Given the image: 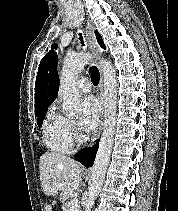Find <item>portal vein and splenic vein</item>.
Returning <instances> with one entry per match:
<instances>
[{
  "label": "portal vein and splenic vein",
  "mask_w": 178,
  "mask_h": 211,
  "mask_svg": "<svg viewBox=\"0 0 178 211\" xmlns=\"http://www.w3.org/2000/svg\"><path fill=\"white\" fill-rule=\"evenodd\" d=\"M58 190L64 189V184H58L56 186ZM78 208V199L76 197H73L71 199V211H75Z\"/></svg>",
  "instance_id": "obj_1"
}]
</instances>
